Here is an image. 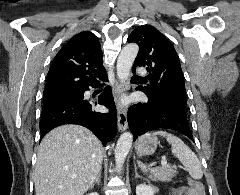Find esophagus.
I'll use <instances>...</instances> for the list:
<instances>
[{"label": "esophagus", "mask_w": 240, "mask_h": 195, "mask_svg": "<svg viewBox=\"0 0 240 195\" xmlns=\"http://www.w3.org/2000/svg\"><path fill=\"white\" fill-rule=\"evenodd\" d=\"M127 89L126 84H121L119 82L115 85V95L117 98V118H118V129L120 131L127 130V108L119 103V95Z\"/></svg>", "instance_id": "34e87169"}]
</instances>
